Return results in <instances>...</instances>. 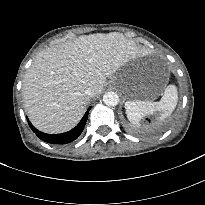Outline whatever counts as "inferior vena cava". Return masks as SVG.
<instances>
[{
  "mask_svg": "<svg viewBox=\"0 0 205 205\" xmlns=\"http://www.w3.org/2000/svg\"><path fill=\"white\" fill-rule=\"evenodd\" d=\"M85 94L88 95V96H92V94H93L92 88L91 87H87L85 89Z\"/></svg>",
  "mask_w": 205,
  "mask_h": 205,
  "instance_id": "602c4592",
  "label": "inferior vena cava"
}]
</instances>
